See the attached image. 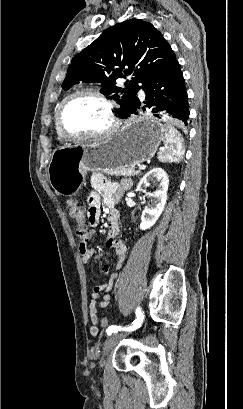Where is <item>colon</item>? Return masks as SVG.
<instances>
[{"mask_svg": "<svg viewBox=\"0 0 243 409\" xmlns=\"http://www.w3.org/2000/svg\"><path fill=\"white\" fill-rule=\"evenodd\" d=\"M67 212L69 217L74 222V228L76 234L81 238L84 237L87 233V225H86V218L85 212L82 205L76 200H70L67 203ZM100 325L104 328L110 326V321L108 318H102L100 321Z\"/></svg>", "mask_w": 243, "mask_h": 409, "instance_id": "obj_1", "label": "colon"}]
</instances>
